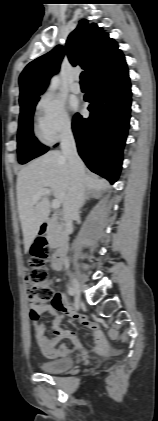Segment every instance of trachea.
<instances>
[{
  "mask_svg": "<svg viewBox=\"0 0 158 421\" xmlns=\"http://www.w3.org/2000/svg\"><path fill=\"white\" fill-rule=\"evenodd\" d=\"M80 83H81V84H86V83H87V80H86V73H85V72H82V73H81V76H80Z\"/></svg>",
  "mask_w": 158,
  "mask_h": 421,
  "instance_id": "1",
  "label": "trachea"
}]
</instances>
